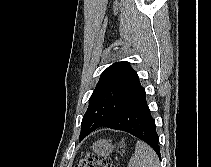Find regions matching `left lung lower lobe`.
Wrapping results in <instances>:
<instances>
[{"instance_id":"obj_1","label":"left lung lower lobe","mask_w":211,"mask_h":167,"mask_svg":"<svg viewBox=\"0 0 211 167\" xmlns=\"http://www.w3.org/2000/svg\"><path fill=\"white\" fill-rule=\"evenodd\" d=\"M102 126L122 130L138 137L149 144L159 158L161 157L159 137L156 132L155 121L146 102L145 90L126 104L114 118ZM91 132L84 135L79 141L83 140Z\"/></svg>"}]
</instances>
